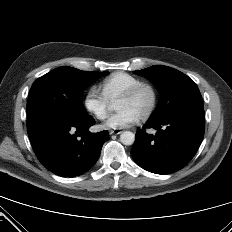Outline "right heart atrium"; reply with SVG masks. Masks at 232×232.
<instances>
[{
	"instance_id": "1",
	"label": "right heart atrium",
	"mask_w": 232,
	"mask_h": 232,
	"mask_svg": "<svg viewBox=\"0 0 232 232\" xmlns=\"http://www.w3.org/2000/svg\"><path fill=\"white\" fill-rule=\"evenodd\" d=\"M85 110L98 120L107 117L110 110V102L95 88H89L83 96Z\"/></svg>"
}]
</instances>
